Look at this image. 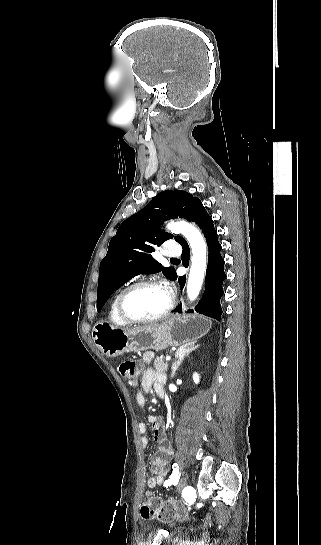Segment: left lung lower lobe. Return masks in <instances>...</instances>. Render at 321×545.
I'll use <instances>...</instances> for the list:
<instances>
[{"label":"left lung lower lobe","mask_w":321,"mask_h":545,"mask_svg":"<svg viewBox=\"0 0 321 545\" xmlns=\"http://www.w3.org/2000/svg\"><path fill=\"white\" fill-rule=\"evenodd\" d=\"M190 221L195 222L202 229L209 249L208 267L206 272V289L203 294V298L195 307V311L220 321L222 314L220 299L224 294L222 284L226 279V274L224 272L225 261L220 253L221 245L217 238V231L214 228L212 218L208 215L203 205L199 206L195 210ZM180 245L183 248L181 256L183 265L188 267L190 259L189 246L184 239L180 242ZM173 279H177V274L173 277ZM178 281L181 287H184L186 281L185 276L179 277ZM174 312L181 313V305H179ZM188 312H193V310H188Z\"/></svg>","instance_id":"left-lung-lower-lobe-1"}]
</instances>
